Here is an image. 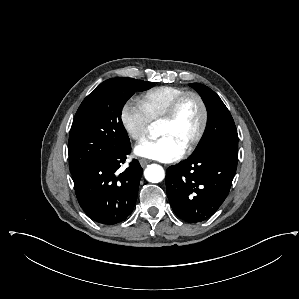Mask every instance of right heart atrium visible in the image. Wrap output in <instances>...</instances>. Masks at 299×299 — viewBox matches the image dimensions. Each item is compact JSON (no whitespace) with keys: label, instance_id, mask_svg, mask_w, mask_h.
<instances>
[{"label":"right heart atrium","instance_id":"1","mask_svg":"<svg viewBox=\"0 0 299 299\" xmlns=\"http://www.w3.org/2000/svg\"><path fill=\"white\" fill-rule=\"evenodd\" d=\"M120 120L126 134L134 141L144 139L151 127L147 114L140 104L133 100H128L123 104Z\"/></svg>","mask_w":299,"mask_h":299}]
</instances>
